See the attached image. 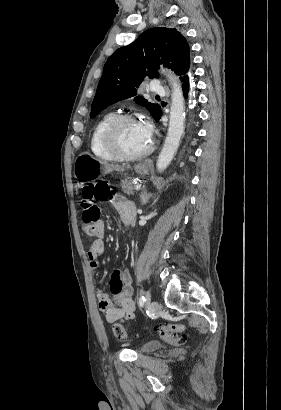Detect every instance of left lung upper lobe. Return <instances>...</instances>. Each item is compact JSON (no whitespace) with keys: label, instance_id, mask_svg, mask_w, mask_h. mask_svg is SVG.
<instances>
[{"label":"left lung upper lobe","instance_id":"obj_1","mask_svg":"<svg viewBox=\"0 0 281 410\" xmlns=\"http://www.w3.org/2000/svg\"><path fill=\"white\" fill-rule=\"evenodd\" d=\"M159 64L171 68L180 79L190 72V49L185 37L176 29H148L108 58L90 117H95L110 104L135 96V87L146 76L158 78ZM134 100L146 107L154 118L161 110L158 104L150 103L142 96H136Z\"/></svg>","mask_w":281,"mask_h":410}]
</instances>
